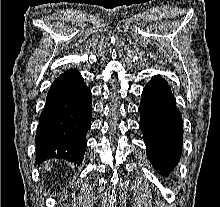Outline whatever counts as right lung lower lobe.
I'll use <instances>...</instances> for the list:
<instances>
[{
	"label": "right lung lower lobe",
	"mask_w": 220,
	"mask_h": 207,
	"mask_svg": "<svg viewBox=\"0 0 220 207\" xmlns=\"http://www.w3.org/2000/svg\"><path fill=\"white\" fill-rule=\"evenodd\" d=\"M91 91L77 70H67L55 79L39 118L36 161L65 159L80 164L91 126Z\"/></svg>",
	"instance_id": "98d812e1"
}]
</instances>
